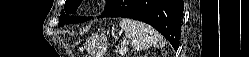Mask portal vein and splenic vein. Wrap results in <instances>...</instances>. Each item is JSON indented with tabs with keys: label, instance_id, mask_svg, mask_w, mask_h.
Instances as JSON below:
<instances>
[{
	"label": "portal vein and splenic vein",
	"instance_id": "1",
	"mask_svg": "<svg viewBox=\"0 0 249 57\" xmlns=\"http://www.w3.org/2000/svg\"><path fill=\"white\" fill-rule=\"evenodd\" d=\"M119 53L123 55L125 53V49L121 47V49L119 50Z\"/></svg>",
	"mask_w": 249,
	"mask_h": 57
}]
</instances>
